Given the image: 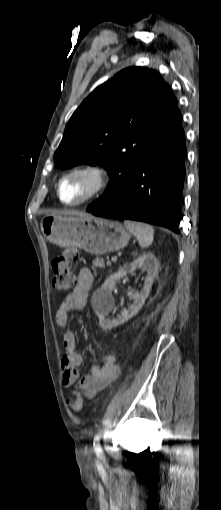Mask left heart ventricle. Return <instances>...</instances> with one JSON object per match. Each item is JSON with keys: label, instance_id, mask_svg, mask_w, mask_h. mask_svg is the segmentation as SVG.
<instances>
[{"label": "left heart ventricle", "instance_id": "obj_1", "mask_svg": "<svg viewBox=\"0 0 221 510\" xmlns=\"http://www.w3.org/2000/svg\"><path fill=\"white\" fill-rule=\"evenodd\" d=\"M91 188V180L84 175H74L68 178L62 186V198L66 202L82 199Z\"/></svg>", "mask_w": 221, "mask_h": 510}]
</instances>
